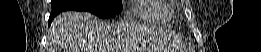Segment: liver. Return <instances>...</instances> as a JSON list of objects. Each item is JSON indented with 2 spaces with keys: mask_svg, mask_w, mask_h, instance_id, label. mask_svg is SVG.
Returning <instances> with one entry per match:
<instances>
[{
  "mask_svg": "<svg viewBox=\"0 0 261 52\" xmlns=\"http://www.w3.org/2000/svg\"><path fill=\"white\" fill-rule=\"evenodd\" d=\"M133 28L103 22L88 12H63L52 22L49 52H127Z\"/></svg>",
  "mask_w": 261,
  "mask_h": 52,
  "instance_id": "1",
  "label": "liver"
}]
</instances>
